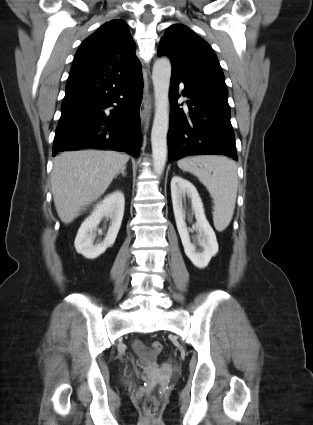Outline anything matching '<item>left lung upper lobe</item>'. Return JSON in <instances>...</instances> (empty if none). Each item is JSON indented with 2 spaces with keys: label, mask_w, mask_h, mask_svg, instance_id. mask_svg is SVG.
I'll return each mask as SVG.
<instances>
[{
  "label": "left lung upper lobe",
  "mask_w": 313,
  "mask_h": 425,
  "mask_svg": "<svg viewBox=\"0 0 313 425\" xmlns=\"http://www.w3.org/2000/svg\"><path fill=\"white\" fill-rule=\"evenodd\" d=\"M158 55L170 58L172 75L199 88L228 93L216 54L187 26L171 25L160 42Z\"/></svg>",
  "instance_id": "1"
}]
</instances>
